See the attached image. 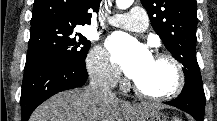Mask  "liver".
I'll return each mask as SVG.
<instances>
[{
	"mask_svg": "<svg viewBox=\"0 0 217 121\" xmlns=\"http://www.w3.org/2000/svg\"><path fill=\"white\" fill-rule=\"evenodd\" d=\"M146 110H155L148 104L131 105L118 98H95L87 89L60 92L31 115L29 121H141Z\"/></svg>",
	"mask_w": 217,
	"mask_h": 121,
	"instance_id": "6515ba94",
	"label": "liver"
}]
</instances>
